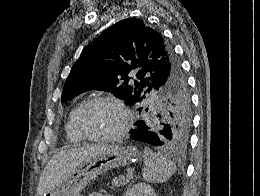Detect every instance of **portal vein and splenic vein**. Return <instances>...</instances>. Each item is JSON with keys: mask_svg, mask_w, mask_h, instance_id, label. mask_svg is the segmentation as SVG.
I'll return each instance as SVG.
<instances>
[{"mask_svg": "<svg viewBox=\"0 0 260 196\" xmlns=\"http://www.w3.org/2000/svg\"><path fill=\"white\" fill-rule=\"evenodd\" d=\"M131 178H133V172H128L127 180H131Z\"/></svg>", "mask_w": 260, "mask_h": 196, "instance_id": "18ae733b", "label": "portal vein and splenic vein"}]
</instances>
